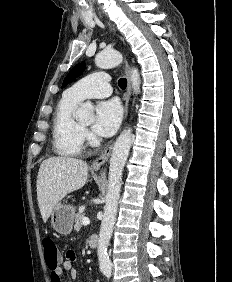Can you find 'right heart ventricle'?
I'll return each instance as SVG.
<instances>
[{"label": "right heart ventricle", "mask_w": 232, "mask_h": 282, "mask_svg": "<svg viewBox=\"0 0 232 282\" xmlns=\"http://www.w3.org/2000/svg\"><path fill=\"white\" fill-rule=\"evenodd\" d=\"M79 102L65 92L53 113L52 148L59 156H77L82 151L84 131L73 117Z\"/></svg>", "instance_id": "e07e8e85"}]
</instances>
